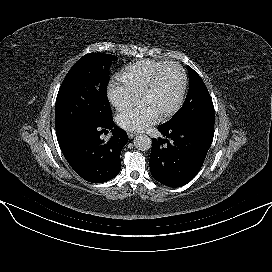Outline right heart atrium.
Listing matches in <instances>:
<instances>
[{"label":"right heart atrium","mask_w":272,"mask_h":272,"mask_svg":"<svg viewBox=\"0 0 272 272\" xmlns=\"http://www.w3.org/2000/svg\"><path fill=\"white\" fill-rule=\"evenodd\" d=\"M107 94L110 103L118 111L131 107L138 100V94L134 93L118 79L109 82Z\"/></svg>","instance_id":"1"}]
</instances>
